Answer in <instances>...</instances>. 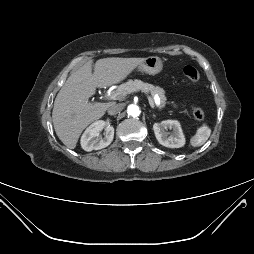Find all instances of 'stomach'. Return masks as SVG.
Segmentation results:
<instances>
[{"label":"stomach","mask_w":254,"mask_h":254,"mask_svg":"<svg viewBox=\"0 0 254 254\" xmlns=\"http://www.w3.org/2000/svg\"><path fill=\"white\" fill-rule=\"evenodd\" d=\"M162 68V60L157 56H150L145 58L144 61L138 65L136 71L149 75H155L161 72Z\"/></svg>","instance_id":"obj_1"}]
</instances>
